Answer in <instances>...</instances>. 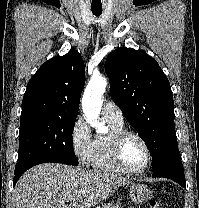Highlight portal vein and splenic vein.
Here are the masks:
<instances>
[{
  "label": "portal vein and splenic vein",
  "instance_id": "18ae733b",
  "mask_svg": "<svg viewBox=\"0 0 199 208\" xmlns=\"http://www.w3.org/2000/svg\"><path fill=\"white\" fill-rule=\"evenodd\" d=\"M72 200V198H68V201H71Z\"/></svg>",
  "mask_w": 199,
  "mask_h": 208
}]
</instances>
